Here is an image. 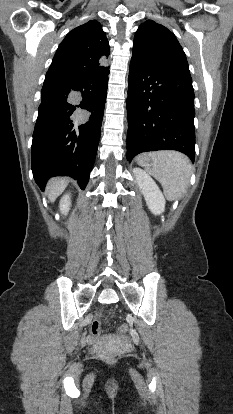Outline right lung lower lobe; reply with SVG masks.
Here are the masks:
<instances>
[{
	"label": "right lung lower lobe",
	"instance_id": "right-lung-lower-lobe-1",
	"mask_svg": "<svg viewBox=\"0 0 233 414\" xmlns=\"http://www.w3.org/2000/svg\"><path fill=\"white\" fill-rule=\"evenodd\" d=\"M109 68L88 76H46L31 147L32 171L44 190L52 176L88 183L96 157L107 95Z\"/></svg>",
	"mask_w": 233,
	"mask_h": 414
}]
</instances>
